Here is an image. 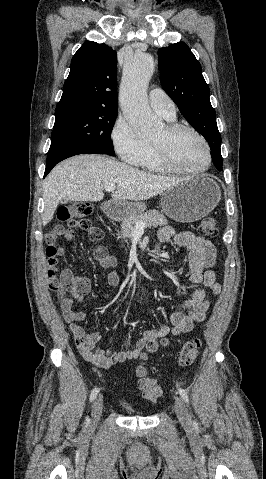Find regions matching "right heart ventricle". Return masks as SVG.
<instances>
[{
    "label": "right heart ventricle",
    "instance_id": "obj_1",
    "mask_svg": "<svg viewBox=\"0 0 266 479\" xmlns=\"http://www.w3.org/2000/svg\"><path fill=\"white\" fill-rule=\"evenodd\" d=\"M137 165L144 171L151 172V173H162L165 171L156 160L153 147L150 143H149V149L147 154Z\"/></svg>",
    "mask_w": 266,
    "mask_h": 479
}]
</instances>
